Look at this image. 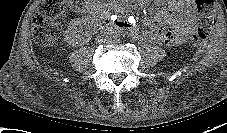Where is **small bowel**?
<instances>
[{
	"mask_svg": "<svg viewBox=\"0 0 227 133\" xmlns=\"http://www.w3.org/2000/svg\"><path fill=\"white\" fill-rule=\"evenodd\" d=\"M163 1L167 4L166 8L161 9L147 21L146 30L137 29V20L134 17L121 20V22L133 37H142L162 45L180 44L195 31L194 0Z\"/></svg>",
	"mask_w": 227,
	"mask_h": 133,
	"instance_id": "1",
	"label": "small bowel"
}]
</instances>
